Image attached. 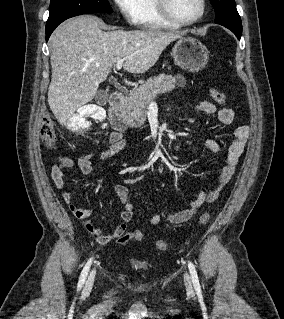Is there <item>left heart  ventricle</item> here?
<instances>
[{
    "instance_id": "obj_1",
    "label": "left heart ventricle",
    "mask_w": 284,
    "mask_h": 319,
    "mask_svg": "<svg viewBox=\"0 0 284 319\" xmlns=\"http://www.w3.org/2000/svg\"><path fill=\"white\" fill-rule=\"evenodd\" d=\"M173 14L182 20L195 18L201 9L200 0H170Z\"/></svg>"
}]
</instances>
